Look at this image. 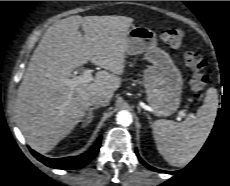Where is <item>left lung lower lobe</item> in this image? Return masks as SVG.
<instances>
[{
    "instance_id": "0a47b994",
    "label": "left lung lower lobe",
    "mask_w": 230,
    "mask_h": 186,
    "mask_svg": "<svg viewBox=\"0 0 230 186\" xmlns=\"http://www.w3.org/2000/svg\"><path fill=\"white\" fill-rule=\"evenodd\" d=\"M138 159L141 163H143L147 168L153 170V171H157V172H161V173H173V172H167V171H163V170H159V169H156V168H153L151 166H149L148 164H146L139 156H138Z\"/></svg>"
}]
</instances>
